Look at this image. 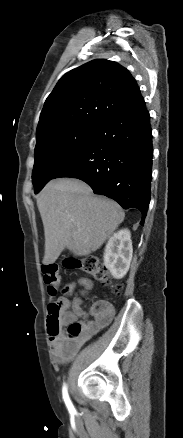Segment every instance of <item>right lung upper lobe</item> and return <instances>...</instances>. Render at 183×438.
Segmentation results:
<instances>
[{"label":"right lung upper lobe","mask_w":183,"mask_h":438,"mask_svg":"<svg viewBox=\"0 0 183 438\" xmlns=\"http://www.w3.org/2000/svg\"><path fill=\"white\" fill-rule=\"evenodd\" d=\"M143 100L127 69L112 61L93 60L58 81L45 101L36 138L57 129L97 126Z\"/></svg>","instance_id":"1"}]
</instances>
